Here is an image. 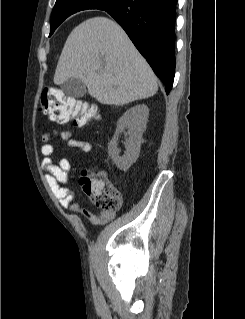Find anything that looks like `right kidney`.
I'll return each mask as SVG.
<instances>
[{
    "label": "right kidney",
    "mask_w": 245,
    "mask_h": 319,
    "mask_svg": "<svg viewBox=\"0 0 245 319\" xmlns=\"http://www.w3.org/2000/svg\"><path fill=\"white\" fill-rule=\"evenodd\" d=\"M149 109L146 105H136L127 110L117 122L114 138L108 144V153L114 164L120 170L127 171L137 160L140 154V147L143 141L142 134L146 129ZM125 129H128L125 132ZM125 133V154L120 157L118 148V137Z\"/></svg>",
    "instance_id": "ca27d5eb"
}]
</instances>
